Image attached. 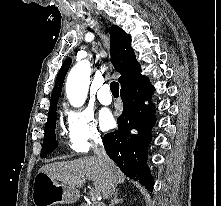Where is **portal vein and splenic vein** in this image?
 I'll return each mask as SVG.
<instances>
[{
    "mask_svg": "<svg viewBox=\"0 0 221 206\" xmlns=\"http://www.w3.org/2000/svg\"><path fill=\"white\" fill-rule=\"evenodd\" d=\"M90 196L92 197V199H101L100 193L94 190L90 191Z\"/></svg>",
    "mask_w": 221,
    "mask_h": 206,
    "instance_id": "obj_1",
    "label": "portal vein and splenic vein"
}]
</instances>
